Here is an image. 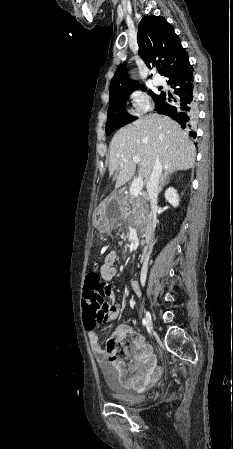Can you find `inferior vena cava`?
<instances>
[{
	"label": "inferior vena cava",
	"instance_id": "602c4592",
	"mask_svg": "<svg viewBox=\"0 0 233 449\" xmlns=\"http://www.w3.org/2000/svg\"><path fill=\"white\" fill-rule=\"evenodd\" d=\"M163 171V165L160 159H156L153 165V169L149 180L147 181L146 188L148 192V197L151 205V213H152V223L150 227V234L153 233L156 226V209H157V198H158V185L159 180ZM147 274V266L144 264L141 270V279H145Z\"/></svg>",
	"mask_w": 233,
	"mask_h": 449
}]
</instances>
